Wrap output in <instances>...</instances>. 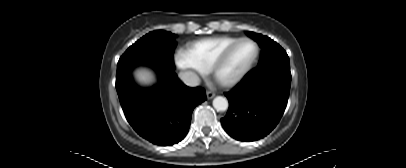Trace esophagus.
<instances>
[{"instance_id": "34e87169", "label": "esophagus", "mask_w": 406, "mask_h": 168, "mask_svg": "<svg viewBox=\"0 0 406 168\" xmlns=\"http://www.w3.org/2000/svg\"><path fill=\"white\" fill-rule=\"evenodd\" d=\"M206 96H207V99H212L214 96H215V93L214 92H212V91H207L206 92Z\"/></svg>"}]
</instances>
